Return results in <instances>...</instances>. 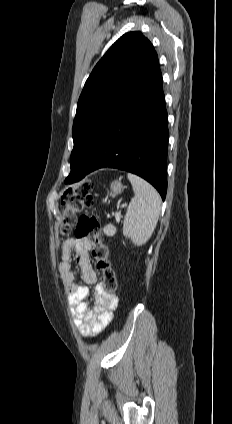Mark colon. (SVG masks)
I'll list each match as a JSON object with an SVG mask.
<instances>
[{"mask_svg": "<svg viewBox=\"0 0 232 424\" xmlns=\"http://www.w3.org/2000/svg\"><path fill=\"white\" fill-rule=\"evenodd\" d=\"M92 183L86 181L76 188H68L62 197V219L59 226L60 236L69 235L73 229L77 239H86L91 248V255L97 261V268L102 272V285L106 293L117 289V276L113 268L107 246L100 238L99 218L84 211L93 204L91 196ZM80 214V216H78Z\"/></svg>", "mask_w": 232, "mask_h": 424, "instance_id": "obj_1", "label": "colon"}]
</instances>
